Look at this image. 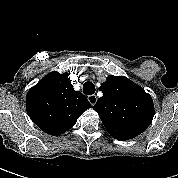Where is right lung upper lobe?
<instances>
[{"mask_svg": "<svg viewBox=\"0 0 178 178\" xmlns=\"http://www.w3.org/2000/svg\"><path fill=\"white\" fill-rule=\"evenodd\" d=\"M68 73L53 71L46 75L26 97L32 121L50 135H60L72 128L79 116L91 107L87 98L73 89Z\"/></svg>", "mask_w": 178, "mask_h": 178, "instance_id": "right-lung-upper-lobe-1", "label": "right lung upper lobe"}]
</instances>
